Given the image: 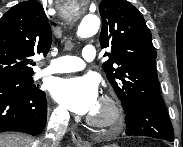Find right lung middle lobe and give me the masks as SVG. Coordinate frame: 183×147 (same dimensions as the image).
<instances>
[{
	"label": "right lung middle lobe",
	"mask_w": 183,
	"mask_h": 147,
	"mask_svg": "<svg viewBox=\"0 0 183 147\" xmlns=\"http://www.w3.org/2000/svg\"><path fill=\"white\" fill-rule=\"evenodd\" d=\"M32 75L0 80V93L9 91L30 92L39 90L33 84Z\"/></svg>",
	"instance_id": "right-lung-middle-lobe-1"
}]
</instances>
